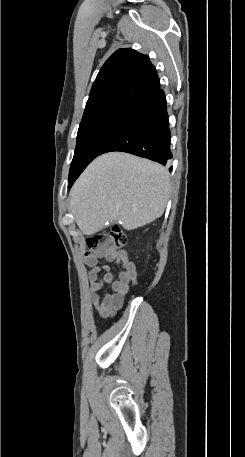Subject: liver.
I'll return each instance as SVG.
<instances>
[{
    "label": "liver",
    "mask_w": 245,
    "mask_h": 457,
    "mask_svg": "<svg viewBox=\"0 0 245 457\" xmlns=\"http://www.w3.org/2000/svg\"><path fill=\"white\" fill-rule=\"evenodd\" d=\"M170 174L162 164L127 152H107L88 164L70 190V210L83 235H94L107 220H122L126 231L163 214Z\"/></svg>",
    "instance_id": "1"
}]
</instances>
